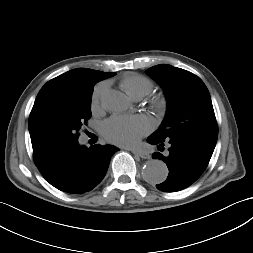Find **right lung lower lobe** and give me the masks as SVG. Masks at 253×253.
I'll list each match as a JSON object with an SVG mask.
<instances>
[{
    "label": "right lung lower lobe",
    "mask_w": 253,
    "mask_h": 253,
    "mask_svg": "<svg viewBox=\"0 0 253 253\" xmlns=\"http://www.w3.org/2000/svg\"><path fill=\"white\" fill-rule=\"evenodd\" d=\"M119 150L115 146L96 144L90 148L78 142L57 152L44 166L43 177L57 189L82 194L92 190L104 178L111 157Z\"/></svg>",
    "instance_id": "right-lung-lower-lobe-1"
}]
</instances>
